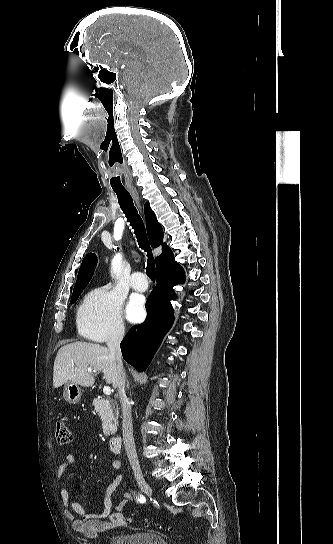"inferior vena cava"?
Returning a JSON list of instances; mask_svg holds the SVG:
<instances>
[{
    "mask_svg": "<svg viewBox=\"0 0 333 544\" xmlns=\"http://www.w3.org/2000/svg\"><path fill=\"white\" fill-rule=\"evenodd\" d=\"M124 337V328L120 327L114 330L108 337L107 346L110 354L115 358L117 364V387L119 399L122 407V434L125 451L132 468H139V461L135 449L133 437V425L131 416V406L125 393V372L122 363V354L120 343Z\"/></svg>",
    "mask_w": 333,
    "mask_h": 544,
    "instance_id": "obj_1",
    "label": "inferior vena cava"
}]
</instances>
